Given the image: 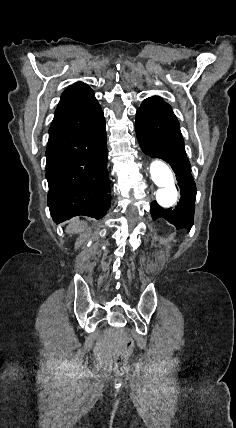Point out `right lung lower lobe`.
Listing matches in <instances>:
<instances>
[{"mask_svg":"<svg viewBox=\"0 0 236 428\" xmlns=\"http://www.w3.org/2000/svg\"><path fill=\"white\" fill-rule=\"evenodd\" d=\"M48 206L56 223L96 219L111 205L105 119L101 107L54 117L46 149Z\"/></svg>","mask_w":236,"mask_h":428,"instance_id":"98d812e1","label":"right lung lower lobe"}]
</instances>
